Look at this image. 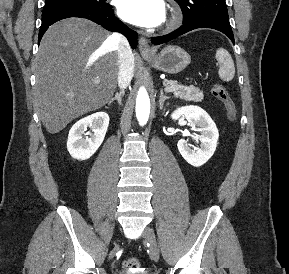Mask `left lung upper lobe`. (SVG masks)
<instances>
[{"label": "left lung upper lobe", "mask_w": 289, "mask_h": 274, "mask_svg": "<svg viewBox=\"0 0 289 274\" xmlns=\"http://www.w3.org/2000/svg\"><path fill=\"white\" fill-rule=\"evenodd\" d=\"M183 12V23L203 16L228 17L225 0H175Z\"/></svg>", "instance_id": "1"}]
</instances>
